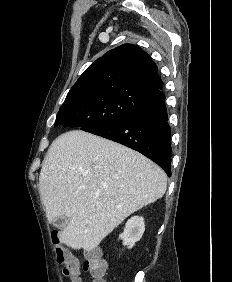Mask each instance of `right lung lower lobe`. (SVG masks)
<instances>
[{
    "label": "right lung lower lobe",
    "instance_id": "1",
    "mask_svg": "<svg viewBox=\"0 0 232 282\" xmlns=\"http://www.w3.org/2000/svg\"><path fill=\"white\" fill-rule=\"evenodd\" d=\"M165 97L144 112L112 125L84 130L121 143L157 163L171 176V129Z\"/></svg>",
    "mask_w": 232,
    "mask_h": 282
}]
</instances>
